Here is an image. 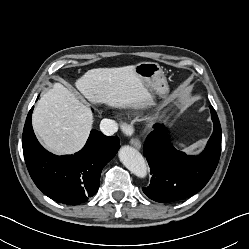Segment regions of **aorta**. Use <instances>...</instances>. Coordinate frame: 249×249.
<instances>
[{"label":"aorta","instance_id":"obj_1","mask_svg":"<svg viewBox=\"0 0 249 249\" xmlns=\"http://www.w3.org/2000/svg\"><path fill=\"white\" fill-rule=\"evenodd\" d=\"M119 159L122 164L138 178H145L147 175L146 162L139 151L131 146H123L119 150Z\"/></svg>","mask_w":249,"mask_h":249}]
</instances>
